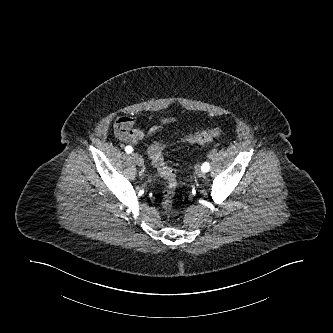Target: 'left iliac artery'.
<instances>
[{"label": "left iliac artery", "instance_id": "left-iliac-artery-1", "mask_svg": "<svg viewBox=\"0 0 333 333\" xmlns=\"http://www.w3.org/2000/svg\"><path fill=\"white\" fill-rule=\"evenodd\" d=\"M201 169L204 171V172H208L209 169H210V164L209 162H204L201 166Z\"/></svg>", "mask_w": 333, "mask_h": 333}]
</instances>
